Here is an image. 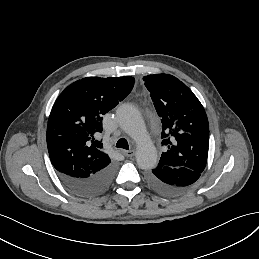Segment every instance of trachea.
I'll list each match as a JSON object with an SVG mask.
<instances>
[{
  "label": "trachea",
  "mask_w": 259,
  "mask_h": 259,
  "mask_svg": "<svg viewBox=\"0 0 259 259\" xmlns=\"http://www.w3.org/2000/svg\"><path fill=\"white\" fill-rule=\"evenodd\" d=\"M116 147L128 150L129 149L128 141L126 139H124V138H121L116 143Z\"/></svg>",
  "instance_id": "3493384b"
}]
</instances>
